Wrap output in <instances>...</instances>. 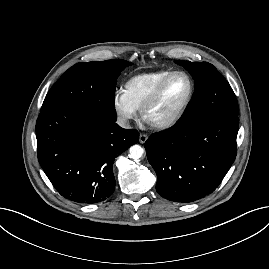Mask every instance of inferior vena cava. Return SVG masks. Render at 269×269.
<instances>
[{
  "instance_id": "1",
  "label": "inferior vena cava",
  "mask_w": 269,
  "mask_h": 269,
  "mask_svg": "<svg viewBox=\"0 0 269 269\" xmlns=\"http://www.w3.org/2000/svg\"><path fill=\"white\" fill-rule=\"evenodd\" d=\"M117 124L122 128H130L129 121L125 118H118Z\"/></svg>"
}]
</instances>
